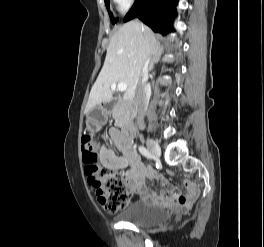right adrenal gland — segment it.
Here are the masks:
<instances>
[{
    "instance_id": "1",
    "label": "right adrenal gland",
    "mask_w": 264,
    "mask_h": 247,
    "mask_svg": "<svg viewBox=\"0 0 264 247\" xmlns=\"http://www.w3.org/2000/svg\"><path fill=\"white\" fill-rule=\"evenodd\" d=\"M159 60H160V55H156L151 59V62L149 65L150 70L154 67V64L159 62Z\"/></svg>"
}]
</instances>
